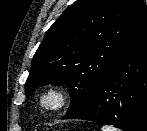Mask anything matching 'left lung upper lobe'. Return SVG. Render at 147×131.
Masks as SVG:
<instances>
[{
  "instance_id": "5c2ea615",
  "label": "left lung upper lobe",
  "mask_w": 147,
  "mask_h": 131,
  "mask_svg": "<svg viewBox=\"0 0 147 131\" xmlns=\"http://www.w3.org/2000/svg\"><path fill=\"white\" fill-rule=\"evenodd\" d=\"M147 40L143 0H77L47 31L32 60L26 96L46 84L66 85L69 117L91 98L109 69Z\"/></svg>"
}]
</instances>
